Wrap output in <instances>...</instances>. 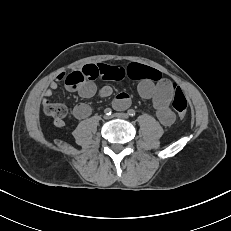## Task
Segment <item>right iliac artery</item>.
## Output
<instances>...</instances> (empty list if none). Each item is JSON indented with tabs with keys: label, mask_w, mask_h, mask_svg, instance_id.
<instances>
[{
	"label": "right iliac artery",
	"mask_w": 231,
	"mask_h": 231,
	"mask_svg": "<svg viewBox=\"0 0 231 231\" xmlns=\"http://www.w3.org/2000/svg\"><path fill=\"white\" fill-rule=\"evenodd\" d=\"M104 113H105L106 115H111L112 110H111L110 108H106V109L104 110Z\"/></svg>",
	"instance_id": "obj_1"
}]
</instances>
